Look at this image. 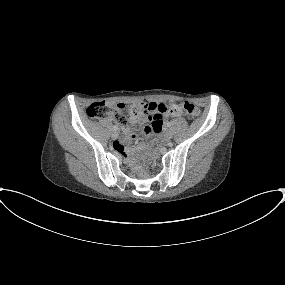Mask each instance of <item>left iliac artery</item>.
<instances>
[{"instance_id":"1","label":"left iliac artery","mask_w":285,"mask_h":285,"mask_svg":"<svg viewBox=\"0 0 285 285\" xmlns=\"http://www.w3.org/2000/svg\"><path fill=\"white\" fill-rule=\"evenodd\" d=\"M166 125H167V127H170V126H171V123H170V122H168Z\"/></svg>"}]
</instances>
